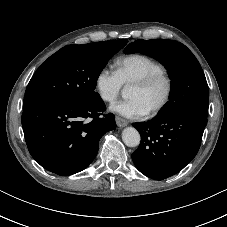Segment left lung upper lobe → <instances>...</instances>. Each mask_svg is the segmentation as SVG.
Segmentation results:
<instances>
[{"instance_id": "obj_1", "label": "left lung upper lobe", "mask_w": 227, "mask_h": 227, "mask_svg": "<svg viewBox=\"0 0 227 227\" xmlns=\"http://www.w3.org/2000/svg\"><path fill=\"white\" fill-rule=\"evenodd\" d=\"M139 52L155 58L168 70L171 79L170 100L156 117L191 113L207 118L209 89L203 70L193 53L173 40H136L125 54Z\"/></svg>"}]
</instances>
